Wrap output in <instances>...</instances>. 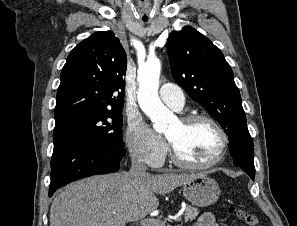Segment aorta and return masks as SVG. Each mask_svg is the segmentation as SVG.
<instances>
[{"mask_svg":"<svg viewBox=\"0 0 297 226\" xmlns=\"http://www.w3.org/2000/svg\"><path fill=\"white\" fill-rule=\"evenodd\" d=\"M161 63L159 59H148L145 64L139 67L137 81L138 103L141 110L151 119L156 131H164L171 112L161 102L158 89Z\"/></svg>","mask_w":297,"mask_h":226,"instance_id":"1","label":"aorta"}]
</instances>
